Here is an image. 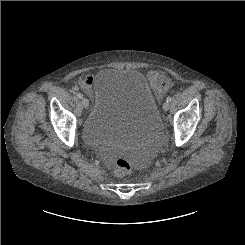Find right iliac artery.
<instances>
[{
	"label": "right iliac artery",
	"instance_id": "right-iliac-artery-1",
	"mask_svg": "<svg viewBox=\"0 0 245 245\" xmlns=\"http://www.w3.org/2000/svg\"><path fill=\"white\" fill-rule=\"evenodd\" d=\"M77 97L81 99L83 95L81 93H77Z\"/></svg>",
	"mask_w": 245,
	"mask_h": 245
}]
</instances>
